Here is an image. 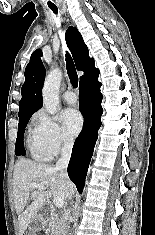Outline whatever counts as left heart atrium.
<instances>
[{"instance_id":"39dd6f15","label":"left heart atrium","mask_w":155,"mask_h":235,"mask_svg":"<svg viewBox=\"0 0 155 235\" xmlns=\"http://www.w3.org/2000/svg\"><path fill=\"white\" fill-rule=\"evenodd\" d=\"M64 128L67 134L77 135L83 127V118L75 109H67L63 113Z\"/></svg>"}]
</instances>
